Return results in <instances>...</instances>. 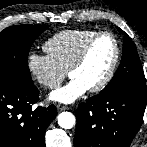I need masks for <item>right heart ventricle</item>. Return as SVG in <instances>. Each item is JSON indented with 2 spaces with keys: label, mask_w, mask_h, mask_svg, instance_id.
I'll return each mask as SVG.
<instances>
[{
  "label": "right heart ventricle",
  "mask_w": 147,
  "mask_h": 147,
  "mask_svg": "<svg viewBox=\"0 0 147 147\" xmlns=\"http://www.w3.org/2000/svg\"><path fill=\"white\" fill-rule=\"evenodd\" d=\"M97 31L68 29L60 31L44 43V50L64 70H68L85 42Z\"/></svg>",
  "instance_id": "1"
}]
</instances>
